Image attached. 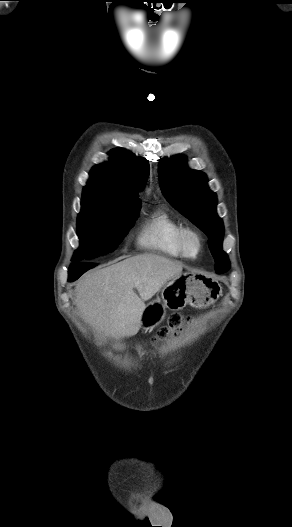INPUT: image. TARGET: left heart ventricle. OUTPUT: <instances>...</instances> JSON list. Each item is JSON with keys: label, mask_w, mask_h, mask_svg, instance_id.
Listing matches in <instances>:
<instances>
[{"label": "left heart ventricle", "mask_w": 292, "mask_h": 527, "mask_svg": "<svg viewBox=\"0 0 292 527\" xmlns=\"http://www.w3.org/2000/svg\"><path fill=\"white\" fill-rule=\"evenodd\" d=\"M196 247H197V245H196L195 240H194V239H191V240L189 241V249H190V251H191V252H194V251L196 250Z\"/></svg>", "instance_id": "obj_1"}]
</instances>
